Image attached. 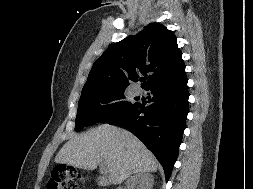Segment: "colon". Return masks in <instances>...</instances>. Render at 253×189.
Masks as SVG:
<instances>
[{
  "mask_svg": "<svg viewBox=\"0 0 253 189\" xmlns=\"http://www.w3.org/2000/svg\"><path fill=\"white\" fill-rule=\"evenodd\" d=\"M77 176L78 173L75 169L59 165L53 170L47 189H78Z\"/></svg>",
  "mask_w": 253,
  "mask_h": 189,
  "instance_id": "5ec220e1",
  "label": "colon"
}]
</instances>
